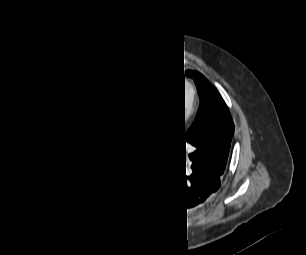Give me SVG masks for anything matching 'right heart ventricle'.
<instances>
[{
  "label": "right heart ventricle",
  "instance_id": "e07e8e85",
  "mask_svg": "<svg viewBox=\"0 0 306 255\" xmlns=\"http://www.w3.org/2000/svg\"><path fill=\"white\" fill-rule=\"evenodd\" d=\"M171 80H172V78L167 77V76L152 77V78H150V80L148 82L146 91L150 96H153L158 91H160L161 89L166 87L167 84H169L171 82Z\"/></svg>",
  "mask_w": 306,
  "mask_h": 255
}]
</instances>
